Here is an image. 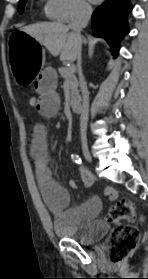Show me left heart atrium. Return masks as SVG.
<instances>
[{
  "mask_svg": "<svg viewBox=\"0 0 148 279\" xmlns=\"http://www.w3.org/2000/svg\"><path fill=\"white\" fill-rule=\"evenodd\" d=\"M90 1L93 2V3H97V2H99L101 0H90Z\"/></svg>",
  "mask_w": 148,
  "mask_h": 279,
  "instance_id": "39dd6f15",
  "label": "left heart atrium"
}]
</instances>
